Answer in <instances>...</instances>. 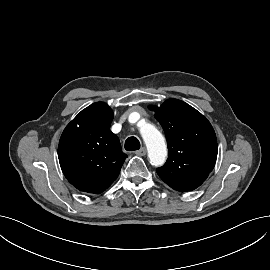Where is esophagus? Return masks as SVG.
<instances>
[{
    "label": "esophagus",
    "instance_id": "34e87169",
    "mask_svg": "<svg viewBox=\"0 0 270 270\" xmlns=\"http://www.w3.org/2000/svg\"><path fill=\"white\" fill-rule=\"evenodd\" d=\"M146 148L145 147H142L141 149L135 151V154L138 155V156H145L146 155Z\"/></svg>",
    "mask_w": 270,
    "mask_h": 270
}]
</instances>
